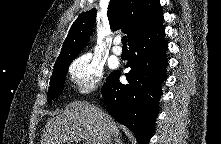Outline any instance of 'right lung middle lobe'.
Listing matches in <instances>:
<instances>
[{
    "label": "right lung middle lobe",
    "mask_w": 221,
    "mask_h": 144,
    "mask_svg": "<svg viewBox=\"0 0 221 144\" xmlns=\"http://www.w3.org/2000/svg\"><path fill=\"white\" fill-rule=\"evenodd\" d=\"M69 63L61 64L54 67V72L51 79V84L48 92V102L58 97L63 90V85L65 81V75L67 74Z\"/></svg>",
    "instance_id": "1"
}]
</instances>
